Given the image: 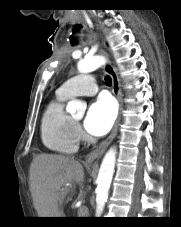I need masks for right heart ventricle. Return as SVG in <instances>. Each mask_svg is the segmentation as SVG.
<instances>
[{"mask_svg": "<svg viewBox=\"0 0 181 227\" xmlns=\"http://www.w3.org/2000/svg\"><path fill=\"white\" fill-rule=\"evenodd\" d=\"M69 97L58 91L48 103L41 120V138L46 148L63 154L74 153L78 148L75 122L64 110Z\"/></svg>", "mask_w": 181, "mask_h": 227, "instance_id": "obj_1", "label": "right heart ventricle"}]
</instances>
